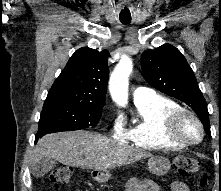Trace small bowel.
<instances>
[{"mask_svg":"<svg viewBox=\"0 0 221 191\" xmlns=\"http://www.w3.org/2000/svg\"><path fill=\"white\" fill-rule=\"evenodd\" d=\"M170 188L171 191H190L182 181L172 182ZM126 191H159V188L151 180L133 178L129 181Z\"/></svg>","mask_w":221,"mask_h":191,"instance_id":"1","label":"small bowel"}]
</instances>
